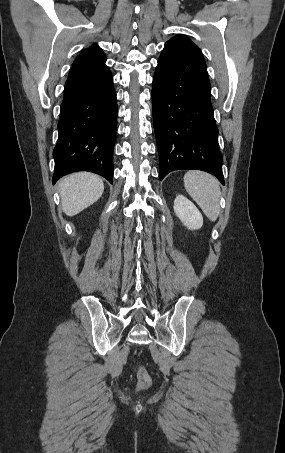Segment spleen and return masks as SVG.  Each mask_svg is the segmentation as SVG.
Listing matches in <instances>:
<instances>
[{
	"mask_svg": "<svg viewBox=\"0 0 285 453\" xmlns=\"http://www.w3.org/2000/svg\"><path fill=\"white\" fill-rule=\"evenodd\" d=\"M184 186L207 218L215 222L220 213L219 181L206 172L191 170L184 175Z\"/></svg>",
	"mask_w": 285,
	"mask_h": 453,
	"instance_id": "3e777b00",
	"label": "spleen"
}]
</instances>
